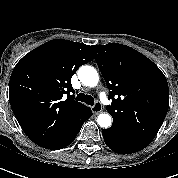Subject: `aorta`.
I'll return each instance as SVG.
<instances>
[{"instance_id":"1","label":"aorta","mask_w":178,"mask_h":178,"mask_svg":"<svg viewBox=\"0 0 178 178\" xmlns=\"http://www.w3.org/2000/svg\"><path fill=\"white\" fill-rule=\"evenodd\" d=\"M78 78L83 85L89 87H95L99 82V75L96 69L89 65L79 68ZM97 123L102 128H109L112 124V117L108 113H101L97 118Z\"/></svg>"}]
</instances>
